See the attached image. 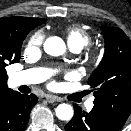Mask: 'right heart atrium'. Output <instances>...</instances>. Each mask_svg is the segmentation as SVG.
Masks as SVG:
<instances>
[{"label": "right heart atrium", "instance_id": "1", "mask_svg": "<svg viewBox=\"0 0 131 131\" xmlns=\"http://www.w3.org/2000/svg\"><path fill=\"white\" fill-rule=\"evenodd\" d=\"M44 42V34L37 31L29 36L26 42V52L31 53L38 51Z\"/></svg>", "mask_w": 131, "mask_h": 131}]
</instances>
